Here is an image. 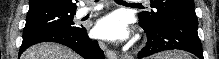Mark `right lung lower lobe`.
Returning <instances> with one entry per match:
<instances>
[{"instance_id":"right-lung-lower-lobe-1","label":"right lung lower lobe","mask_w":219,"mask_h":59,"mask_svg":"<svg viewBox=\"0 0 219 59\" xmlns=\"http://www.w3.org/2000/svg\"><path fill=\"white\" fill-rule=\"evenodd\" d=\"M41 42H56L65 45L86 59H104L98 42L87 36L85 28L77 31L52 30L37 33L23 38L19 56L30 46Z\"/></svg>"}]
</instances>
